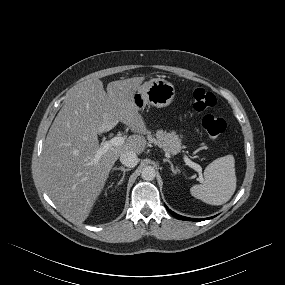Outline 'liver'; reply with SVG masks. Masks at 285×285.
<instances>
[{
	"mask_svg": "<svg viewBox=\"0 0 285 285\" xmlns=\"http://www.w3.org/2000/svg\"><path fill=\"white\" fill-rule=\"evenodd\" d=\"M144 77L110 82L88 79L69 90L47 134L41 157V178L47 194L63 216L84 222L102 192L113 165L125 151L141 154L147 128L133 93ZM122 122L134 133L109 148L95 162L98 135Z\"/></svg>",
	"mask_w": 285,
	"mask_h": 285,
	"instance_id": "6515ba94",
	"label": "liver"
}]
</instances>
